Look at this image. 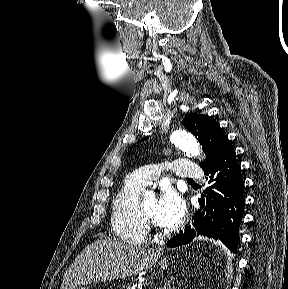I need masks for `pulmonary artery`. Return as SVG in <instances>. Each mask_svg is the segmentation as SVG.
<instances>
[{
    "mask_svg": "<svg viewBox=\"0 0 288 289\" xmlns=\"http://www.w3.org/2000/svg\"><path fill=\"white\" fill-rule=\"evenodd\" d=\"M164 170H171L174 175L180 178H201L203 172L197 165L186 159H176L167 162V166L148 165L130 173L126 180L134 185L145 188L151 181L156 179Z\"/></svg>",
    "mask_w": 288,
    "mask_h": 289,
    "instance_id": "pulmonary-artery-1",
    "label": "pulmonary artery"
}]
</instances>
